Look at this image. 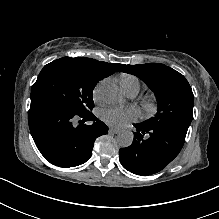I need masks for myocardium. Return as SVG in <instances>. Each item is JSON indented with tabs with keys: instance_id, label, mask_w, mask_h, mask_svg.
<instances>
[{
	"instance_id": "obj_1",
	"label": "myocardium",
	"mask_w": 219,
	"mask_h": 219,
	"mask_svg": "<svg viewBox=\"0 0 219 219\" xmlns=\"http://www.w3.org/2000/svg\"><path fill=\"white\" fill-rule=\"evenodd\" d=\"M138 103L141 110L147 117H154L158 114L159 102L155 97L151 95L140 97Z\"/></svg>"
}]
</instances>
